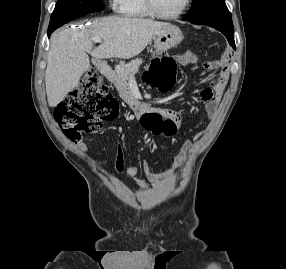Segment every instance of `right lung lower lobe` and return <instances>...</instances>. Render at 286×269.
<instances>
[{
    "label": "right lung lower lobe",
    "instance_id": "obj_1",
    "mask_svg": "<svg viewBox=\"0 0 286 269\" xmlns=\"http://www.w3.org/2000/svg\"><path fill=\"white\" fill-rule=\"evenodd\" d=\"M105 8V7H104ZM55 29H48V37H50V35L53 33V31H54Z\"/></svg>",
    "mask_w": 286,
    "mask_h": 269
}]
</instances>
